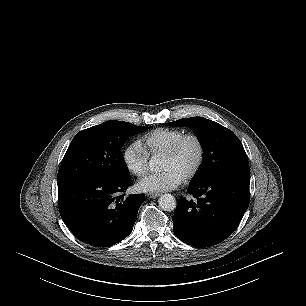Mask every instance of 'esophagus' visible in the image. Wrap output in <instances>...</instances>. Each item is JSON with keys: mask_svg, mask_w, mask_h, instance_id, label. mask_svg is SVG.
<instances>
[{"mask_svg": "<svg viewBox=\"0 0 306 306\" xmlns=\"http://www.w3.org/2000/svg\"><path fill=\"white\" fill-rule=\"evenodd\" d=\"M147 196H148L149 198L155 199V198L159 197L160 194H159V193H155V192H150V193H147Z\"/></svg>", "mask_w": 306, "mask_h": 306, "instance_id": "obj_1", "label": "esophagus"}]
</instances>
